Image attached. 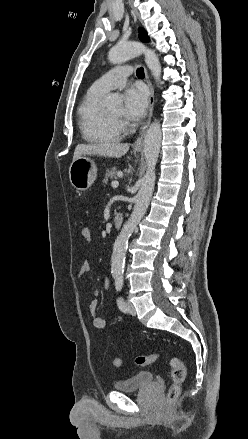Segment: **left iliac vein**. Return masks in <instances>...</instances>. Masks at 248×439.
I'll return each instance as SVG.
<instances>
[{
    "label": "left iliac vein",
    "mask_w": 248,
    "mask_h": 439,
    "mask_svg": "<svg viewBox=\"0 0 248 439\" xmlns=\"http://www.w3.org/2000/svg\"><path fill=\"white\" fill-rule=\"evenodd\" d=\"M127 305H128V312H129L130 314H132V315H135V314H136V310H135V307H134V305L132 304V302L127 301Z\"/></svg>",
    "instance_id": "1"
}]
</instances>
